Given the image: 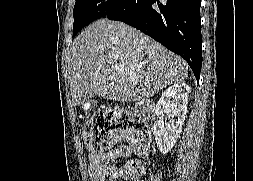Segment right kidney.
Masks as SVG:
<instances>
[{
    "label": "right kidney",
    "instance_id": "right-kidney-1",
    "mask_svg": "<svg viewBox=\"0 0 253 181\" xmlns=\"http://www.w3.org/2000/svg\"><path fill=\"white\" fill-rule=\"evenodd\" d=\"M190 87L185 83H177L168 87L161 95L155 107L159 120L154 123L153 133L158 150L167 154L180 137L184 123ZM168 119L164 122L163 117Z\"/></svg>",
    "mask_w": 253,
    "mask_h": 181
}]
</instances>
